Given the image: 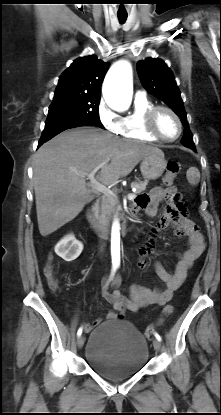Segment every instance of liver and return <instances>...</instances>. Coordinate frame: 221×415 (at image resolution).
Wrapping results in <instances>:
<instances>
[{"instance_id": "1", "label": "liver", "mask_w": 221, "mask_h": 415, "mask_svg": "<svg viewBox=\"0 0 221 415\" xmlns=\"http://www.w3.org/2000/svg\"><path fill=\"white\" fill-rule=\"evenodd\" d=\"M156 152L162 151L94 127L64 131L43 144L33 159L40 234L45 237L55 232L91 201L85 174L107 162L97 179L105 185L113 184L130 174L144 157Z\"/></svg>"}]
</instances>
